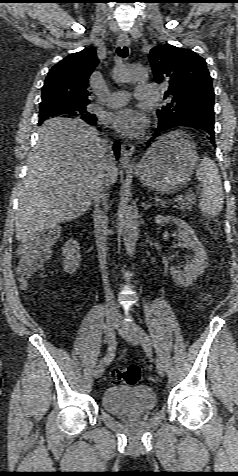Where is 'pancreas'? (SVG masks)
I'll list each match as a JSON object with an SVG mask.
<instances>
[{"mask_svg":"<svg viewBox=\"0 0 238 476\" xmlns=\"http://www.w3.org/2000/svg\"><path fill=\"white\" fill-rule=\"evenodd\" d=\"M195 202H196V195L193 193H189L186 196H184V199L181 200L174 207L181 210H191Z\"/></svg>","mask_w":238,"mask_h":476,"instance_id":"cf45deb5","label":"pancreas"}]
</instances>
